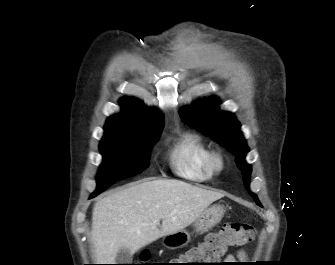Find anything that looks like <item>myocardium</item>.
<instances>
[{"label":"myocardium","mask_w":335,"mask_h":265,"mask_svg":"<svg viewBox=\"0 0 335 265\" xmlns=\"http://www.w3.org/2000/svg\"><path fill=\"white\" fill-rule=\"evenodd\" d=\"M209 163L214 172H220L225 167V158L221 153L212 152L210 155Z\"/></svg>","instance_id":"myocardium-1"}]
</instances>
